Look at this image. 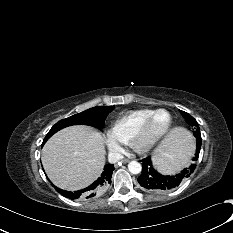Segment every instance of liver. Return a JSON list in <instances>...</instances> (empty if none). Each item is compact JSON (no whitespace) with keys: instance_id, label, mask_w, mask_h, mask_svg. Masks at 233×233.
Listing matches in <instances>:
<instances>
[{"instance_id":"1","label":"liver","mask_w":233,"mask_h":233,"mask_svg":"<svg viewBox=\"0 0 233 233\" xmlns=\"http://www.w3.org/2000/svg\"><path fill=\"white\" fill-rule=\"evenodd\" d=\"M181 130H172L156 148L153 159L165 169L177 171ZM104 138L95 129L77 125L58 131L42 150V164L49 179L59 188L75 191L92 184L105 165Z\"/></svg>"}]
</instances>
